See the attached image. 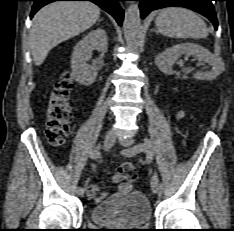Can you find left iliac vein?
Returning <instances> with one entry per match:
<instances>
[{
	"label": "left iliac vein",
	"instance_id": "1",
	"mask_svg": "<svg viewBox=\"0 0 234 231\" xmlns=\"http://www.w3.org/2000/svg\"><path fill=\"white\" fill-rule=\"evenodd\" d=\"M119 142H120V144L123 147L133 148V147H131V145L133 144V140H131V139H128V138H126V139H119ZM150 185H151L152 192L153 193H157L158 190H159V178H158V174L156 172H154L152 174V176H151Z\"/></svg>",
	"mask_w": 234,
	"mask_h": 231
}]
</instances>
